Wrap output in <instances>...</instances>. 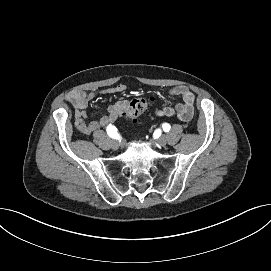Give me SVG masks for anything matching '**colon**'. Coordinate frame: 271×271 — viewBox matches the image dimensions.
<instances>
[{"label": "colon", "mask_w": 271, "mask_h": 271, "mask_svg": "<svg viewBox=\"0 0 271 271\" xmlns=\"http://www.w3.org/2000/svg\"><path fill=\"white\" fill-rule=\"evenodd\" d=\"M150 103L151 100L149 98H135L128 102L124 111V115L129 119H135L148 109Z\"/></svg>", "instance_id": "1"}]
</instances>
